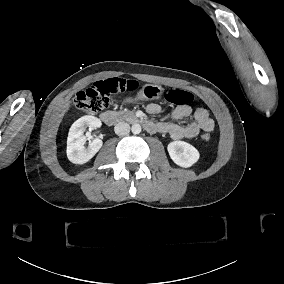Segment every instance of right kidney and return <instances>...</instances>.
Here are the masks:
<instances>
[{
  "instance_id": "ca27d5eb",
  "label": "right kidney",
  "mask_w": 284,
  "mask_h": 284,
  "mask_svg": "<svg viewBox=\"0 0 284 284\" xmlns=\"http://www.w3.org/2000/svg\"><path fill=\"white\" fill-rule=\"evenodd\" d=\"M101 125L100 119L90 115L83 116L72 124L67 138V157L72 163L84 164L99 151L103 144L102 140L95 138L85 147L84 131L87 127L92 130Z\"/></svg>"
}]
</instances>
